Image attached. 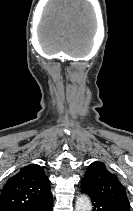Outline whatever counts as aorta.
Listing matches in <instances>:
<instances>
[{
    "instance_id": "1",
    "label": "aorta",
    "mask_w": 133,
    "mask_h": 211,
    "mask_svg": "<svg viewBox=\"0 0 133 211\" xmlns=\"http://www.w3.org/2000/svg\"><path fill=\"white\" fill-rule=\"evenodd\" d=\"M92 206L90 199L87 195H81L78 197L76 204H75V211H91Z\"/></svg>"
}]
</instances>
